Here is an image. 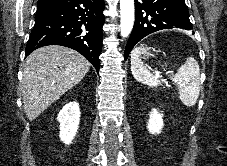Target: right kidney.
<instances>
[{
    "mask_svg": "<svg viewBox=\"0 0 227 166\" xmlns=\"http://www.w3.org/2000/svg\"><path fill=\"white\" fill-rule=\"evenodd\" d=\"M57 120L60 123V139L68 145L74 139L79 127V104L77 102H70L66 104L59 112Z\"/></svg>",
    "mask_w": 227,
    "mask_h": 166,
    "instance_id": "obj_1",
    "label": "right kidney"
}]
</instances>
